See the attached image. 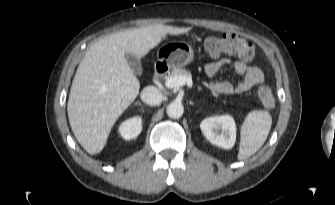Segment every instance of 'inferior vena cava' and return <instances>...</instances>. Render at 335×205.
<instances>
[{
  "label": "inferior vena cava",
  "mask_w": 335,
  "mask_h": 205,
  "mask_svg": "<svg viewBox=\"0 0 335 205\" xmlns=\"http://www.w3.org/2000/svg\"><path fill=\"white\" fill-rule=\"evenodd\" d=\"M140 98L144 103L155 106L161 103L162 94L156 87L148 86L142 90Z\"/></svg>",
  "instance_id": "1"
}]
</instances>
